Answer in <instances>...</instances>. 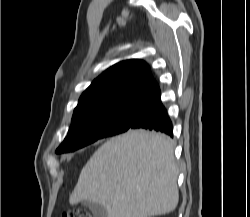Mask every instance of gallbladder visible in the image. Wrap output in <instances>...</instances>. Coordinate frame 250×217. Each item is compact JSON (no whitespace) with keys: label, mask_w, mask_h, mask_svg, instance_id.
<instances>
[{"label":"gallbladder","mask_w":250,"mask_h":217,"mask_svg":"<svg viewBox=\"0 0 250 217\" xmlns=\"http://www.w3.org/2000/svg\"><path fill=\"white\" fill-rule=\"evenodd\" d=\"M83 205L92 212L93 217H107L106 209L102 205L88 201H84Z\"/></svg>","instance_id":"1"}]
</instances>
